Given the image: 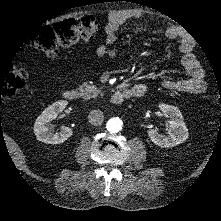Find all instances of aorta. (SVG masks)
<instances>
[{"instance_id": "762f6f07", "label": "aorta", "mask_w": 221, "mask_h": 221, "mask_svg": "<svg viewBox=\"0 0 221 221\" xmlns=\"http://www.w3.org/2000/svg\"><path fill=\"white\" fill-rule=\"evenodd\" d=\"M123 122L120 118L114 117L108 120L106 128L111 133H117L122 129Z\"/></svg>"}]
</instances>
